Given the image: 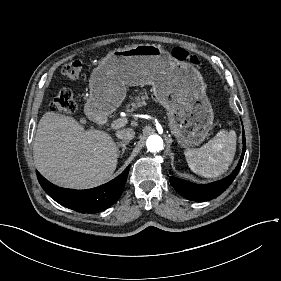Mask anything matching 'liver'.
I'll return each mask as SVG.
<instances>
[{"instance_id":"6515ba94","label":"liver","mask_w":281,"mask_h":281,"mask_svg":"<svg viewBox=\"0 0 281 281\" xmlns=\"http://www.w3.org/2000/svg\"><path fill=\"white\" fill-rule=\"evenodd\" d=\"M38 171L64 188L89 189L104 184L117 166L116 143L101 130H85L73 117L46 112L33 143Z\"/></svg>"}]
</instances>
